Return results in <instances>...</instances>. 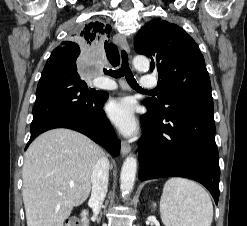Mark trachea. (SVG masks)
Masks as SVG:
<instances>
[{
    "mask_svg": "<svg viewBox=\"0 0 247 226\" xmlns=\"http://www.w3.org/2000/svg\"><path fill=\"white\" fill-rule=\"evenodd\" d=\"M121 56H122V66H121V68L118 69V70L104 69V73L107 74V75H110L111 77H114V78H120V77L125 76L128 84L133 89H135L137 91H141V92H148V90L142 89L138 85L137 81L135 80L134 75H133V73H132V71H131V69L129 67V64H128L127 53L124 50H122Z\"/></svg>",
    "mask_w": 247,
    "mask_h": 226,
    "instance_id": "obj_1",
    "label": "trachea"
}]
</instances>
